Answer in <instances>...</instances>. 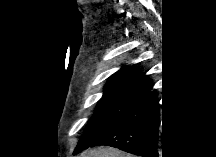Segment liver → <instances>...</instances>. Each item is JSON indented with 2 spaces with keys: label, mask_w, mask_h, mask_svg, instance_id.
I'll return each instance as SVG.
<instances>
[{
  "label": "liver",
  "mask_w": 216,
  "mask_h": 157,
  "mask_svg": "<svg viewBox=\"0 0 216 157\" xmlns=\"http://www.w3.org/2000/svg\"><path fill=\"white\" fill-rule=\"evenodd\" d=\"M81 157H133L132 154L124 153L111 147H99L83 152Z\"/></svg>",
  "instance_id": "6515ba94"
}]
</instances>
